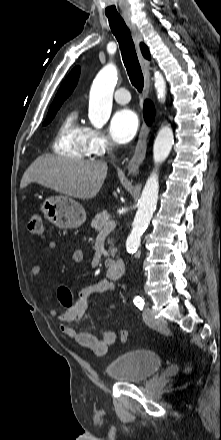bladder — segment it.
Masks as SVG:
<instances>
[{
	"mask_svg": "<svg viewBox=\"0 0 221 440\" xmlns=\"http://www.w3.org/2000/svg\"><path fill=\"white\" fill-rule=\"evenodd\" d=\"M162 358L148 349L126 352L110 361L105 371L114 381L139 383L148 380L162 366Z\"/></svg>",
	"mask_w": 221,
	"mask_h": 440,
	"instance_id": "obj_1",
	"label": "bladder"
}]
</instances>
